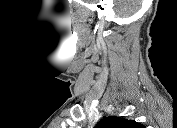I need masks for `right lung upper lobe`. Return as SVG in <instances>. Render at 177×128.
Listing matches in <instances>:
<instances>
[{
    "mask_svg": "<svg viewBox=\"0 0 177 128\" xmlns=\"http://www.w3.org/2000/svg\"><path fill=\"white\" fill-rule=\"evenodd\" d=\"M97 126L99 128H143V125L134 120H128L116 116L104 117L99 121Z\"/></svg>",
    "mask_w": 177,
    "mask_h": 128,
    "instance_id": "1",
    "label": "right lung upper lobe"
}]
</instances>
